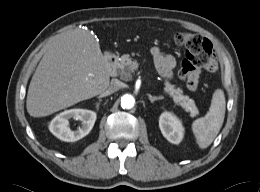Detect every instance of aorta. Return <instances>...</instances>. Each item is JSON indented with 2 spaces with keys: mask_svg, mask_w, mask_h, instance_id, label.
Returning a JSON list of instances; mask_svg holds the SVG:
<instances>
[{
  "mask_svg": "<svg viewBox=\"0 0 260 192\" xmlns=\"http://www.w3.org/2000/svg\"><path fill=\"white\" fill-rule=\"evenodd\" d=\"M135 105V98L130 94H125L121 97V107L123 109H131Z\"/></svg>",
  "mask_w": 260,
  "mask_h": 192,
  "instance_id": "aorta-1",
  "label": "aorta"
}]
</instances>
